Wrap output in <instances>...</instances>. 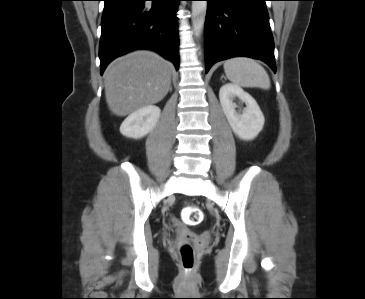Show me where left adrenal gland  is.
<instances>
[{
    "instance_id": "left-adrenal-gland-1",
    "label": "left adrenal gland",
    "mask_w": 365,
    "mask_h": 299,
    "mask_svg": "<svg viewBox=\"0 0 365 299\" xmlns=\"http://www.w3.org/2000/svg\"><path fill=\"white\" fill-rule=\"evenodd\" d=\"M222 78H224V79H225L224 75H222L221 80H222Z\"/></svg>"
}]
</instances>
